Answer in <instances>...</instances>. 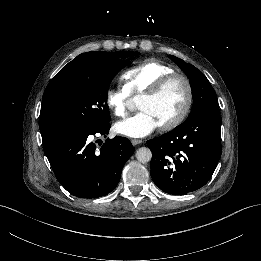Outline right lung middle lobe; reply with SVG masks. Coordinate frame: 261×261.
Returning <instances> with one entry per match:
<instances>
[{"label": "right lung middle lobe", "mask_w": 261, "mask_h": 261, "mask_svg": "<svg viewBox=\"0 0 261 261\" xmlns=\"http://www.w3.org/2000/svg\"><path fill=\"white\" fill-rule=\"evenodd\" d=\"M137 52H128L130 57ZM131 62L127 60H82L65 69L55 80V104L63 130H95L109 123L108 88L114 75ZM43 143L53 135L41 132Z\"/></svg>", "instance_id": "obj_1"}]
</instances>
